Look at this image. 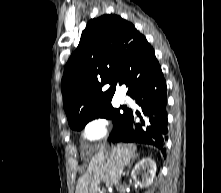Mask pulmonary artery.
<instances>
[{"mask_svg":"<svg viewBox=\"0 0 221 193\" xmlns=\"http://www.w3.org/2000/svg\"><path fill=\"white\" fill-rule=\"evenodd\" d=\"M119 98H120L121 101H127L128 100V97L125 94H123V93H121L119 95Z\"/></svg>","mask_w":221,"mask_h":193,"instance_id":"1","label":"pulmonary artery"}]
</instances>
